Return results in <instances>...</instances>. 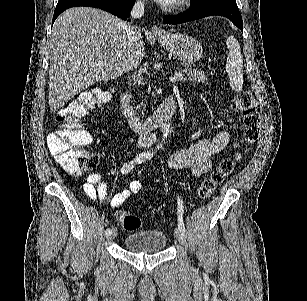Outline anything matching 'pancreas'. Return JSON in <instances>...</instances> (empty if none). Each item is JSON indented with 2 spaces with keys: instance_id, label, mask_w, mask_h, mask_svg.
Wrapping results in <instances>:
<instances>
[{
  "instance_id": "obj_1",
  "label": "pancreas",
  "mask_w": 307,
  "mask_h": 301,
  "mask_svg": "<svg viewBox=\"0 0 307 301\" xmlns=\"http://www.w3.org/2000/svg\"><path fill=\"white\" fill-rule=\"evenodd\" d=\"M179 72H182V76L178 78V80H192V82H206L207 80L204 70H197V68H180Z\"/></svg>"
}]
</instances>
